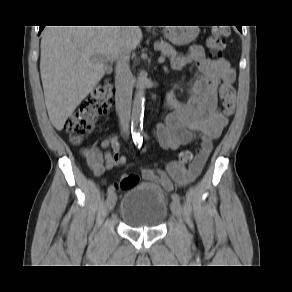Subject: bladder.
Returning a JSON list of instances; mask_svg holds the SVG:
<instances>
[{
    "label": "bladder",
    "mask_w": 292,
    "mask_h": 292,
    "mask_svg": "<svg viewBox=\"0 0 292 292\" xmlns=\"http://www.w3.org/2000/svg\"><path fill=\"white\" fill-rule=\"evenodd\" d=\"M168 201L157 185L143 183L127 189L120 204L119 216L130 228H157L166 218Z\"/></svg>",
    "instance_id": "1"
}]
</instances>
